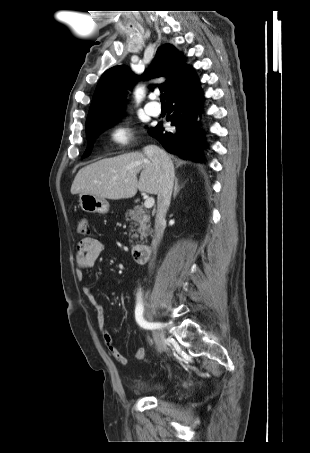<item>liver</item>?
Instances as JSON below:
<instances>
[{
	"instance_id": "liver-1",
	"label": "liver",
	"mask_w": 310,
	"mask_h": 453,
	"mask_svg": "<svg viewBox=\"0 0 310 453\" xmlns=\"http://www.w3.org/2000/svg\"><path fill=\"white\" fill-rule=\"evenodd\" d=\"M159 187L160 171L143 153L131 152L81 168L72 183L71 194L119 200L134 197L137 190L157 195Z\"/></svg>"
}]
</instances>
